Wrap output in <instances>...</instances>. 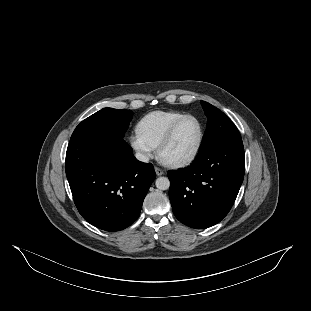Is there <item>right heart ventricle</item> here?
Instances as JSON below:
<instances>
[{
	"instance_id": "e07e8e85",
	"label": "right heart ventricle",
	"mask_w": 311,
	"mask_h": 311,
	"mask_svg": "<svg viewBox=\"0 0 311 311\" xmlns=\"http://www.w3.org/2000/svg\"><path fill=\"white\" fill-rule=\"evenodd\" d=\"M186 114L179 111H152L135 124L136 136L148 146L157 149L172 125Z\"/></svg>"
}]
</instances>
